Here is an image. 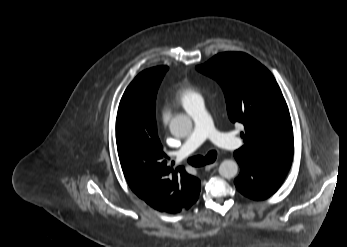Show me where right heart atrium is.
Instances as JSON below:
<instances>
[{"label": "right heart atrium", "instance_id": "obj_1", "mask_svg": "<svg viewBox=\"0 0 347 247\" xmlns=\"http://www.w3.org/2000/svg\"><path fill=\"white\" fill-rule=\"evenodd\" d=\"M161 121L163 124H167L169 121V115L165 112L161 114Z\"/></svg>", "mask_w": 347, "mask_h": 247}]
</instances>
